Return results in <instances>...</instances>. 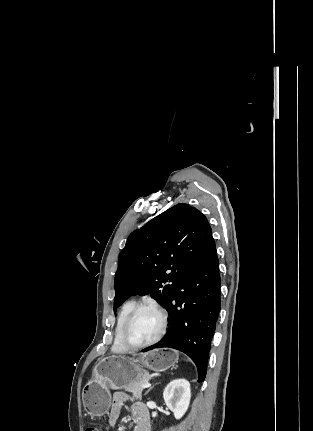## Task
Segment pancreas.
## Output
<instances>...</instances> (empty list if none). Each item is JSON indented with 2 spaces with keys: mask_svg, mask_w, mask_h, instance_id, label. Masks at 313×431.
<instances>
[{
  "mask_svg": "<svg viewBox=\"0 0 313 431\" xmlns=\"http://www.w3.org/2000/svg\"><path fill=\"white\" fill-rule=\"evenodd\" d=\"M147 380H148L147 375H146V378L139 377L136 381L125 385L124 388L127 391L132 392L135 397L141 398L142 397V391L144 388L140 387V385L142 383L147 382Z\"/></svg>",
  "mask_w": 313,
  "mask_h": 431,
  "instance_id": "obj_1",
  "label": "pancreas"
}]
</instances>
